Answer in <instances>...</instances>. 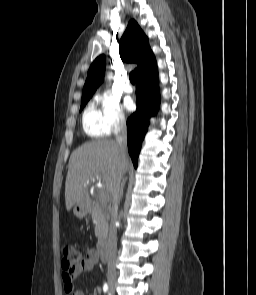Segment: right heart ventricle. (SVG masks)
I'll list each match as a JSON object with an SVG mask.
<instances>
[{
    "label": "right heart ventricle",
    "mask_w": 256,
    "mask_h": 295,
    "mask_svg": "<svg viewBox=\"0 0 256 295\" xmlns=\"http://www.w3.org/2000/svg\"><path fill=\"white\" fill-rule=\"evenodd\" d=\"M82 125L84 132L90 137L98 138L107 135L100 110L94 103H90L85 109L82 116Z\"/></svg>",
    "instance_id": "obj_1"
}]
</instances>
